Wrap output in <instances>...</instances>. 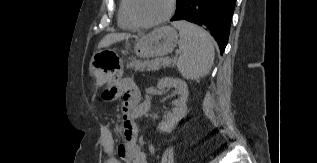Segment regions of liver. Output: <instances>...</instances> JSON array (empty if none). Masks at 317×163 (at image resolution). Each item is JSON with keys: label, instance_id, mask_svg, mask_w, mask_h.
<instances>
[{"label": "liver", "instance_id": "6515ba94", "mask_svg": "<svg viewBox=\"0 0 317 163\" xmlns=\"http://www.w3.org/2000/svg\"><path fill=\"white\" fill-rule=\"evenodd\" d=\"M132 36L130 34L126 33H111L107 34L98 44V49L108 47L114 43L120 42L122 40H127L131 38Z\"/></svg>", "mask_w": 317, "mask_h": 163}]
</instances>
